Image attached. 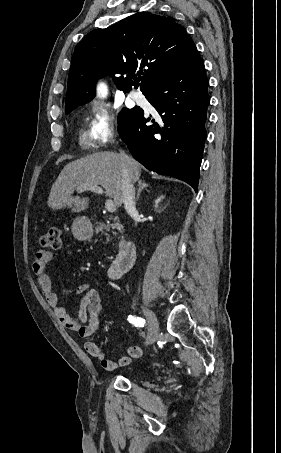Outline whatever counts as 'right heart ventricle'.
Here are the masks:
<instances>
[{"mask_svg":"<svg viewBox=\"0 0 281 453\" xmlns=\"http://www.w3.org/2000/svg\"><path fill=\"white\" fill-rule=\"evenodd\" d=\"M96 141L92 139L89 132L81 129L79 133V145L83 150H93L96 147Z\"/></svg>","mask_w":281,"mask_h":453,"instance_id":"1","label":"right heart ventricle"}]
</instances>
